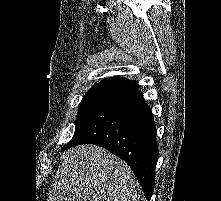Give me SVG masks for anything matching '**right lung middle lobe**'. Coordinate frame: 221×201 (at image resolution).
I'll return each instance as SVG.
<instances>
[{"label":"right lung middle lobe","mask_w":221,"mask_h":201,"mask_svg":"<svg viewBox=\"0 0 221 201\" xmlns=\"http://www.w3.org/2000/svg\"><path fill=\"white\" fill-rule=\"evenodd\" d=\"M114 88H91L83 97L75 122L74 135L86 124L93 114L115 93Z\"/></svg>","instance_id":"obj_1"}]
</instances>
